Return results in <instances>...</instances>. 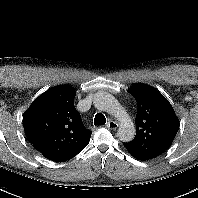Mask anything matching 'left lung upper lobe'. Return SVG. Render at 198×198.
<instances>
[{
	"mask_svg": "<svg viewBox=\"0 0 198 198\" xmlns=\"http://www.w3.org/2000/svg\"><path fill=\"white\" fill-rule=\"evenodd\" d=\"M129 93L136 99V135L125 147L159 156L172 144L179 120L168 100L156 89L144 84H133Z\"/></svg>",
	"mask_w": 198,
	"mask_h": 198,
	"instance_id": "5c2ea615",
	"label": "left lung upper lobe"
}]
</instances>
